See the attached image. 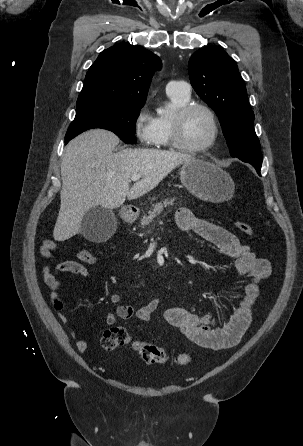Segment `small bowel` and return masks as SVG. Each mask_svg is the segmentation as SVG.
<instances>
[{
    "instance_id": "c3829d8e",
    "label": "small bowel",
    "mask_w": 303,
    "mask_h": 446,
    "mask_svg": "<svg viewBox=\"0 0 303 446\" xmlns=\"http://www.w3.org/2000/svg\"><path fill=\"white\" fill-rule=\"evenodd\" d=\"M176 223L186 233L193 234L206 242L213 244L222 253L234 259L235 269L240 277H246L244 293L234 309L230 319L218 325L209 315H201L181 307H171L164 313L165 320L178 329L187 339L199 347L212 352L223 351L236 346L250 325L252 310L256 304L262 282L271 273V264L267 259L260 258L248 245L242 244L239 239L224 227L196 217L188 208L181 207L176 212ZM56 249V243L51 239L43 240L38 252L44 259H50ZM73 273L82 278L88 276L83 264L74 260L58 263L52 270L49 266L43 267L44 281L50 289V296L58 316L68 328L73 339L76 340L77 349L85 352L88 343L79 338V330L74 326L65 311L63 301L59 296L61 282L59 273ZM116 307L105 315L107 325H113L117 319H137L147 322L160 305V298L154 297L147 304L135 309L129 304H122L123 296L114 293L109 298ZM179 361L186 364L191 361L187 354H180Z\"/></svg>"
}]
</instances>
